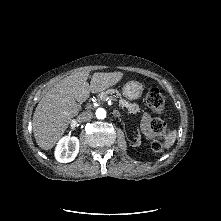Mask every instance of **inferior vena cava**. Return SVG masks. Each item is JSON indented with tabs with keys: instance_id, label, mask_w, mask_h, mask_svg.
Returning <instances> with one entry per match:
<instances>
[{
	"instance_id": "inferior-vena-cava-1",
	"label": "inferior vena cava",
	"mask_w": 221,
	"mask_h": 221,
	"mask_svg": "<svg viewBox=\"0 0 221 221\" xmlns=\"http://www.w3.org/2000/svg\"><path fill=\"white\" fill-rule=\"evenodd\" d=\"M93 118V113L91 111H85L79 114L78 119L80 121H89Z\"/></svg>"
}]
</instances>
